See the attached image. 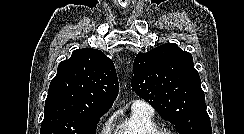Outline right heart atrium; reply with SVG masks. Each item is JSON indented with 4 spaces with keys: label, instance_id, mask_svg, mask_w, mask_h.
I'll use <instances>...</instances> for the list:
<instances>
[{
    "label": "right heart atrium",
    "instance_id": "obj_1",
    "mask_svg": "<svg viewBox=\"0 0 244 134\" xmlns=\"http://www.w3.org/2000/svg\"><path fill=\"white\" fill-rule=\"evenodd\" d=\"M110 126H111V118L107 119L104 122L98 134H109Z\"/></svg>",
    "mask_w": 244,
    "mask_h": 134
}]
</instances>
